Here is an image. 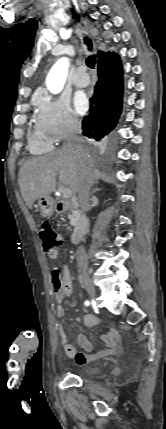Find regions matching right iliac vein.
Listing matches in <instances>:
<instances>
[{"mask_svg": "<svg viewBox=\"0 0 166 429\" xmlns=\"http://www.w3.org/2000/svg\"><path fill=\"white\" fill-rule=\"evenodd\" d=\"M81 274V281L87 291V293L89 294L90 298L95 299L96 297V293H95V288L92 284V281L89 277V275L87 274L86 270H81L80 272Z\"/></svg>", "mask_w": 166, "mask_h": 429, "instance_id": "obj_1", "label": "right iliac vein"}]
</instances>
